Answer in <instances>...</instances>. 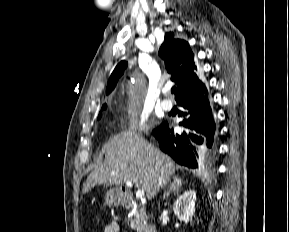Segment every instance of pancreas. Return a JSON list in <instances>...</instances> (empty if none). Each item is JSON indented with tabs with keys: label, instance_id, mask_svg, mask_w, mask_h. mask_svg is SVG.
Wrapping results in <instances>:
<instances>
[{
	"label": "pancreas",
	"instance_id": "pancreas-1",
	"mask_svg": "<svg viewBox=\"0 0 289 232\" xmlns=\"http://www.w3.org/2000/svg\"><path fill=\"white\" fill-rule=\"evenodd\" d=\"M132 215L134 219L131 218L130 227L137 232H145L148 228L147 218L143 211L135 210Z\"/></svg>",
	"mask_w": 289,
	"mask_h": 232
}]
</instances>
